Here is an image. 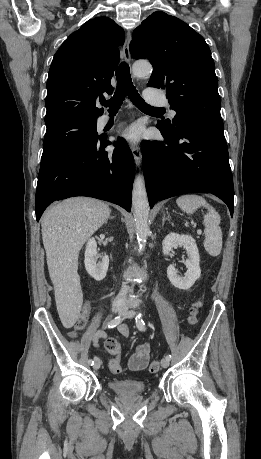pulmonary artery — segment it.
I'll list each match as a JSON object with an SVG mask.
<instances>
[{
    "label": "pulmonary artery",
    "instance_id": "pulmonary-artery-1",
    "mask_svg": "<svg viewBox=\"0 0 261 459\" xmlns=\"http://www.w3.org/2000/svg\"><path fill=\"white\" fill-rule=\"evenodd\" d=\"M144 97H145V100L151 105H155V106L166 105V100L162 96H160L159 94L155 93L152 90H145ZM170 113L174 115L175 111L171 110ZM110 119H111V116H109L108 114H104L100 117L99 124L105 125L110 121Z\"/></svg>",
    "mask_w": 261,
    "mask_h": 459
}]
</instances>
